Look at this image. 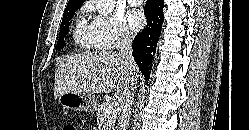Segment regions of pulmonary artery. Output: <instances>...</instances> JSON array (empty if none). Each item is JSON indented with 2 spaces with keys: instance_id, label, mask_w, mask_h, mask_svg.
Masks as SVG:
<instances>
[{
  "instance_id": "obj_1",
  "label": "pulmonary artery",
  "mask_w": 249,
  "mask_h": 130,
  "mask_svg": "<svg viewBox=\"0 0 249 130\" xmlns=\"http://www.w3.org/2000/svg\"><path fill=\"white\" fill-rule=\"evenodd\" d=\"M143 2V0H128V3L133 6L140 5Z\"/></svg>"
}]
</instances>
